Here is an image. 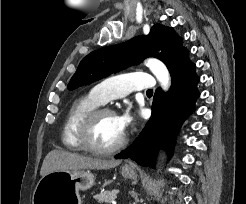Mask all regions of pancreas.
<instances>
[{
  "label": "pancreas",
  "mask_w": 246,
  "mask_h": 204,
  "mask_svg": "<svg viewBox=\"0 0 246 204\" xmlns=\"http://www.w3.org/2000/svg\"><path fill=\"white\" fill-rule=\"evenodd\" d=\"M117 197V191H105V192H101L100 194H97L94 196V199L98 201V203L100 204H107L109 203L111 200L116 199Z\"/></svg>",
  "instance_id": "obj_1"
}]
</instances>
